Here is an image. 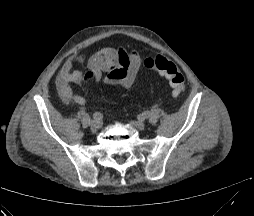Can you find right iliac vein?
I'll use <instances>...</instances> for the list:
<instances>
[{
  "label": "right iliac vein",
  "mask_w": 254,
  "mask_h": 216,
  "mask_svg": "<svg viewBox=\"0 0 254 216\" xmlns=\"http://www.w3.org/2000/svg\"><path fill=\"white\" fill-rule=\"evenodd\" d=\"M100 127H101V124L99 122H96V121L90 122V129L92 132H96Z\"/></svg>",
  "instance_id": "63e3f726"
}]
</instances>
